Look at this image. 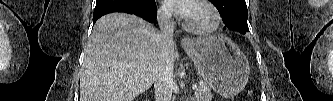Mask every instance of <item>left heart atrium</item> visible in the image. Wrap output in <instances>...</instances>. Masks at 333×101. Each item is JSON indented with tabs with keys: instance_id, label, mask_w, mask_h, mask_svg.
<instances>
[{
	"instance_id": "obj_1",
	"label": "left heart atrium",
	"mask_w": 333,
	"mask_h": 101,
	"mask_svg": "<svg viewBox=\"0 0 333 101\" xmlns=\"http://www.w3.org/2000/svg\"><path fill=\"white\" fill-rule=\"evenodd\" d=\"M191 4L189 0H165L168 8L184 17L188 14Z\"/></svg>"
}]
</instances>
